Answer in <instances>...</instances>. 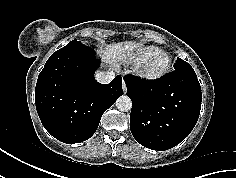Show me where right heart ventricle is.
I'll return each instance as SVG.
<instances>
[{
	"instance_id": "right-heart-ventricle-1",
	"label": "right heart ventricle",
	"mask_w": 236,
	"mask_h": 178,
	"mask_svg": "<svg viewBox=\"0 0 236 178\" xmlns=\"http://www.w3.org/2000/svg\"><path fill=\"white\" fill-rule=\"evenodd\" d=\"M161 49L155 46H142L137 48L131 56V61L134 64H139L159 53H161Z\"/></svg>"
}]
</instances>
